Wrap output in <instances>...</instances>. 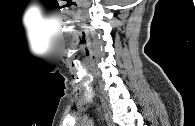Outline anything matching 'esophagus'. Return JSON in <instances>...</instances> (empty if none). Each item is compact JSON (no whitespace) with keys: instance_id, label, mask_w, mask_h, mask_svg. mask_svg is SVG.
Segmentation results:
<instances>
[{"instance_id":"obj_1","label":"esophagus","mask_w":195,"mask_h":126,"mask_svg":"<svg viewBox=\"0 0 195 126\" xmlns=\"http://www.w3.org/2000/svg\"><path fill=\"white\" fill-rule=\"evenodd\" d=\"M103 111H104V118L107 123V126H114V123L112 121L111 111L105 103H103Z\"/></svg>"}]
</instances>
